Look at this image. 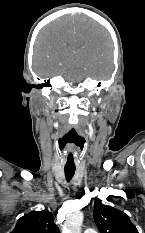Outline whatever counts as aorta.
I'll use <instances>...</instances> for the list:
<instances>
[{
    "mask_svg": "<svg viewBox=\"0 0 145 233\" xmlns=\"http://www.w3.org/2000/svg\"><path fill=\"white\" fill-rule=\"evenodd\" d=\"M83 213L76 212L65 221L63 233H81V226L83 223Z\"/></svg>",
    "mask_w": 145,
    "mask_h": 233,
    "instance_id": "762f6f07",
    "label": "aorta"
}]
</instances>
